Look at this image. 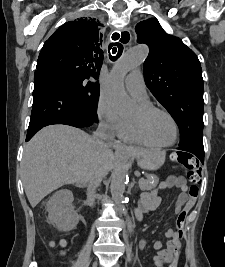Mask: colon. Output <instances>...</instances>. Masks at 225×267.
<instances>
[{"mask_svg": "<svg viewBox=\"0 0 225 267\" xmlns=\"http://www.w3.org/2000/svg\"><path fill=\"white\" fill-rule=\"evenodd\" d=\"M171 159L179 163L183 168L187 170V177L191 183L188 189V200L177 214L176 226L179 239H182L184 234V225L188 213L192 209L198 194L199 186L203 179V169L199 160L191 153L184 151H177L171 155ZM180 256V247L178 246L174 252V258L169 267H177ZM163 267V265H162Z\"/></svg>", "mask_w": 225, "mask_h": 267, "instance_id": "obj_1", "label": "colon"}]
</instances>
